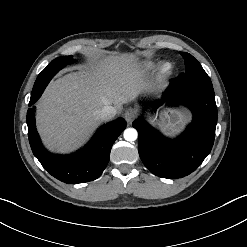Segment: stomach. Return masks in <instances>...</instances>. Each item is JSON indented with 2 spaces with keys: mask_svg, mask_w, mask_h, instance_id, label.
<instances>
[{
  "mask_svg": "<svg viewBox=\"0 0 247 247\" xmlns=\"http://www.w3.org/2000/svg\"><path fill=\"white\" fill-rule=\"evenodd\" d=\"M187 121L186 116L178 111L165 113L161 120V127L168 135L174 136L179 134Z\"/></svg>",
  "mask_w": 247,
  "mask_h": 247,
  "instance_id": "1",
  "label": "stomach"
}]
</instances>
